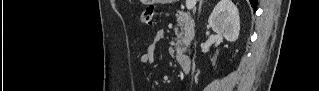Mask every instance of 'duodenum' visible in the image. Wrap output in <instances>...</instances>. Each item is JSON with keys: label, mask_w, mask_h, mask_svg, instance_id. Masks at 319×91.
I'll list each match as a JSON object with an SVG mask.
<instances>
[{"label": "duodenum", "mask_w": 319, "mask_h": 91, "mask_svg": "<svg viewBox=\"0 0 319 91\" xmlns=\"http://www.w3.org/2000/svg\"><path fill=\"white\" fill-rule=\"evenodd\" d=\"M176 61L184 72L191 69V57L187 54H179L176 56Z\"/></svg>", "instance_id": "duodenum-1"}]
</instances>
